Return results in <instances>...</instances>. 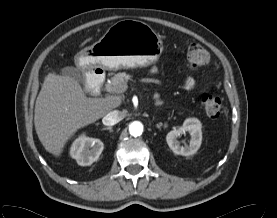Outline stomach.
I'll return each mask as SVG.
<instances>
[{"mask_svg":"<svg viewBox=\"0 0 277 218\" xmlns=\"http://www.w3.org/2000/svg\"><path fill=\"white\" fill-rule=\"evenodd\" d=\"M163 51V42L148 24L125 19L113 24L93 45L75 56L82 69L118 70L148 66Z\"/></svg>","mask_w":277,"mask_h":218,"instance_id":"stomach-1","label":"stomach"}]
</instances>
